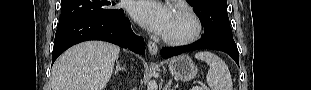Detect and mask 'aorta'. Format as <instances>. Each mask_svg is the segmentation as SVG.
<instances>
[{
  "label": "aorta",
  "mask_w": 311,
  "mask_h": 90,
  "mask_svg": "<svg viewBox=\"0 0 311 90\" xmlns=\"http://www.w3.org/2000/svg\"><path fill=\"white\" fill-rule=\"evenodd\" d=\"M157 89H158V85H157V82L155 80H151L148 82L147 90H157Z\"/></svg>",
  "instance_id": "1"
}]
</instances>
